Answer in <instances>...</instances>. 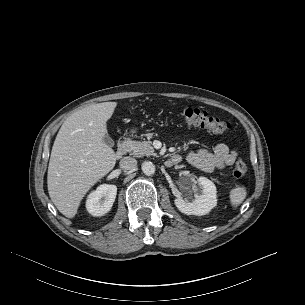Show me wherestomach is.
Instances as JSON below:
<instances>
[{"mask_svg":"<svg viewBox=\"0 0 305 305\" xmlns=\"http://www.w3.org/2000/svg\"><path fill=\"white\" fill-rule=\"evenodd\" d=\"M136 131V129H132L131 132L134 133Z\"/></svg>","mask_w":305,"mask_h":305,"instance_id":"0dacf381","label":"stomach"}]
</instances>
